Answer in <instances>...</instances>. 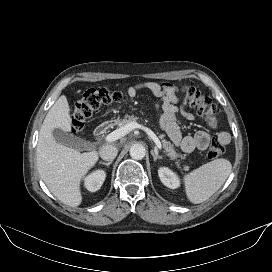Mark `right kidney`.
Listing matches in <instances>:
<instances>
[{
  "label": "right kidney",
  "mask_w": 272,
  "mask_h": 272,
  "mask_svg": "<svg viewBox=\"0 0 272 272\" xmlns=\"http://www.w3.org/2000/svg\"><path fill=\"white\" fill-rule=\"evenodd\" d=\"M105 178V171L96 170L85 178V187L90 192H95L101 188Z\"/></svg>",
  "instance_id": "obj_1"
}]
</instances>
